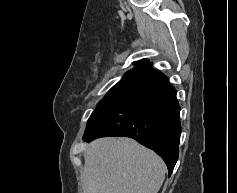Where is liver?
<instances>
[{
  "label": "liver",
  "mask_w": 237,
  "mask_h": 193,
  "mask_svg": "<svg viewBox=\"0 0 237 193\" xmlns=\"http://www.w3.org/2000/svg\"><path fill=\"white\" fill-rule=\"evenodd\" d=\"M84 193H158L166 165L131 138H100L84 150Z\"/></svg>",
  "instance_id": "obj_1"
}]
</instances>
